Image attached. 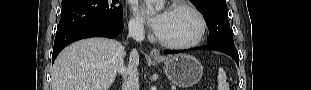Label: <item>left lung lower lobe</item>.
I'll use <instances>...</instances> for the list:
<instances>
[{
	"label": "left lung lower lobe",
	"instance_id": "0a47b994",
	"mask_svg": "<svg viewBox=\"0 0 311 90\" xmlns=\"http://www.w3.org/2000/svg\"><path fill=\"white\" fill-rule=\"evenodd\" d=\"M190 50H213V51H219L222 53H225L227 55H229L230 57H232L235 62L237 63V65H239V56H238V51L235 47H228V46H224V45H210L207 44L205 46H200V47H195L193 49ZM187 50H166L165 53H181Z\"/></svg>",
	"mask_w": 311,
	"mask_h": 90
}]
</instances>
